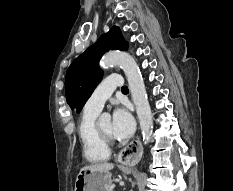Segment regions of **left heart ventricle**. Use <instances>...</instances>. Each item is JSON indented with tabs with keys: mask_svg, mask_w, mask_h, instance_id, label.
<instances>
[{
	"mask_svg": "<svg viewBox=\"0 0 233 191\" xmlns=\"http://www.w3.org/2000/svg\"><path fill=\"white\" fill-rule=\"evenodd\" d=\"M99 126L104 133L108 135L112 134V123L109 120L101 122Z\"/></svg>",
	"mask_w": 233,
	"mask_h": 191,
	"instance_id": "left-heart-ventricle-1",
	"label": "left heart ventricle"
}]
</instances>
